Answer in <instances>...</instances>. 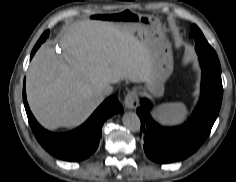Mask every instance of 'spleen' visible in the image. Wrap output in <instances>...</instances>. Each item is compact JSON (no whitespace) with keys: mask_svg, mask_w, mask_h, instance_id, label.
<instances>
[{"mask_svg":"<svg viewBox=\"0 0 236 182\" xmlns=\"http://www.w3.org/2000/svg\"><path fill=\"white\" fill-rule=\"evenodd\" d=\"M188 115L183 103H165L159 105L154 113L155 118L162 124L176 125L182 123Z\"/></svg>","mask_w":236,"mask_h":182,"instance_id":"obj_1","label":"spleen"}]
</instances>
